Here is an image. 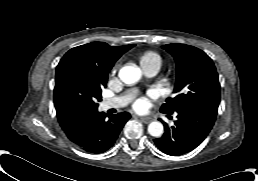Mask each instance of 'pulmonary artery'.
<instances>
[{
    "label": "pulmonary artery",
    "instance_id": "obj_1",
    "mask_svg": "<svg viewBox=\"0 0 258 181\" xmlns=\"http://www.w3.org/2000/svg\"><path fill=\"white\" fill-rule=\"evenodd\" d=\"M159 69H160L159 67H152L148 70H145V73L147 76L153 77L158 73ZM132 96H133V92H127L123 95L106 99L101 103V108L102 110L121 108L131 100Z\"/></svg>",
    "mask_w": 258,
    "mask_h": 181
}]
</instances>
